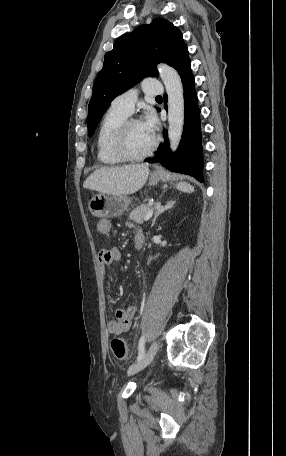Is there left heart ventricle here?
Here are the masks:
<instances>
[{"label": "left heart ventricle", "instance_id": "b2bd125f", "mask_svg": "<svg viewBox=\"0 0 286 456\" xmlns=\"http://www.w3.org/2000/svg\"><path fill=\"white\" fill-rule=\"evenodd\" d=\"M153 137L141 123L132 124L127 132L126 151L132 156L144 154L151 146Z\"/></svg>", "mask_w": 286, "mask_h": 456}]
</instances>
